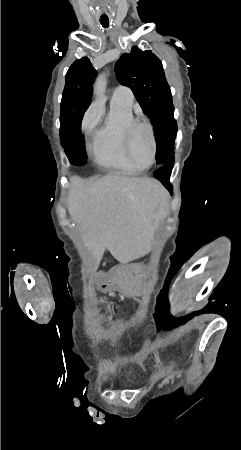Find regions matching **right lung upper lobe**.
Masks as SVG:
<instances>
[{
  "label": "right lung upper lobe",
  "instance_id": "obj_1",
  "mask_svg": "<svg viewBox=\"0 0 241 450\" xmlns=\"http://www.w3.org/2000/svg\"><path fill=\"white\" fill-rule=\"evenodd\" d=\"M97 74V71L93 68L88 58L83 57L75 61L69 68L66 74V80L75 78L79 75H92Z\"/></svg>",
  "mask_w": 241,
  "mask_h": 450
}]
</instances>
